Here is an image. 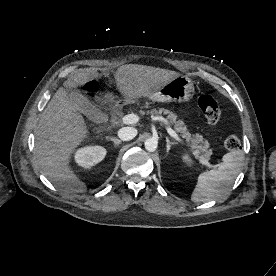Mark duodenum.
I'll return each mask as SVG.
<instances>
[{"label":"duodenum","instance_id":"duodenum-1","mask_svg":"<svg viewBox=\"0 0 276 276\" xmlns=\"http://www.w3.org/2000/svg\"><path fill=\"white\" fill-rule=\"evenodd\" d=\"M119 108H120V105L118 104L113 105L110 110L111 115H115L116 112L119 110Z\"/></svg>","mask_w":276,"mask_h":276}]
</instances>
